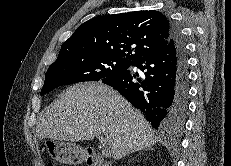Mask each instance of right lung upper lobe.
Wrapping results in <instances>:
<instances>
[{"instance_id":"obj_1","label":"right lung upper lobe","mask_w":231,"mask_h":166,"mask_svg":"<svg viewBox=\"0 0 231 166\" xmlns=\"http://www.w3.org/2000/svg\"><path fill=\"white\" fill-rule=\"evenodd\" d=\"M172 25L159 11H135L88 20L65 41L59 57L100 53L129 61L162 50L171 40Z\"/></svg>"}]
</instances>
